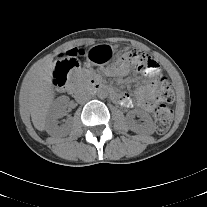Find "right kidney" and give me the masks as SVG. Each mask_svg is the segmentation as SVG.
I'll list each match as a JSON object with an SVG mask.
<instances>
[{
    "label": "right kidney",
    "mask_w": 207,
    "mask_h": 207,
    "mask_svg": "<svg viewBox=\"0 0 207 207\" xmlns=\"http://www.w3.org/2000/svg\"><path fill=\"white\" fill-rule=\"evenodd\" d=\"M68 98L62 96L57 98L51 105L47 117L45 129L48 133H54L59 130L58 119L65 114V108L67 107Z\"/></svg>",
    "instance_id": "obj_1"
}]
</instances>
